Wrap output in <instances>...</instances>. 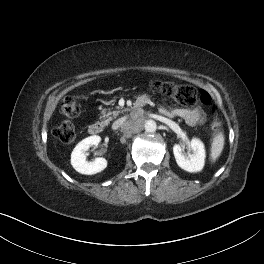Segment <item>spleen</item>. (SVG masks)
<instances>
[{
  "mask_svg": "<svg viewBox=\"0 0 264 264\" xmlns=\"http://www.w3.org/2000/svg\"><path fill=\"white\" fill-rule=\"evenodd\" d=\"M224 134L222 132L217 133L211 143V161L215 162L221 155L224 148Z\"/></svg>",
  "mask_w": 264,
  "mask_h": 264,
  "instance_id": "1",
  "label": "spleen"
}]
</instances>
